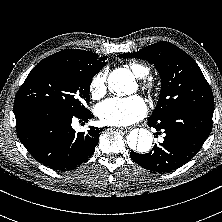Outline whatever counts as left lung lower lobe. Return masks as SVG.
Masks as SVG:
<instances>
[{
	"mask_svg": "<svg viewBox=\"0 0 222 222\" xmlns=\"http://www.w3.org/2000/svg\"><path fill=\"white\" fill-rule=\"evenodd\" d=\"M213 111L214 108L210 107L188 106L158 119L149 118L150 127L164 130V141L155 144L149 153L131 152V158L145 169L159 173L181 167L199 152L208 138Z\"/></svg>",
	"mask_w": 222,
	"mask_h": 222,
	"instance_id": "0a47b994",
	"label": "left lung lower lobe"
}]
</instances>
